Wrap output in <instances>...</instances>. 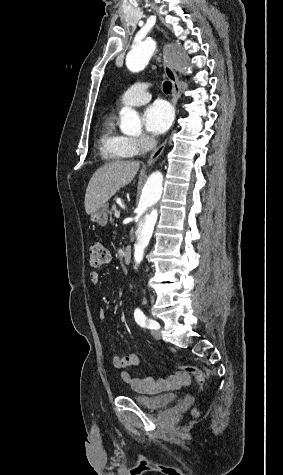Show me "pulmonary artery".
I'll return each mask as SVG.
<instances>
[{"mask_svg": "<svg viewBox=\"0 0 283 475\" xmlns=\"http://www.w3.org/2000/svg\"><path fill=\"white\" fill-rule=\"evenodd\" d=\"M154 98V93L146 88V82L140 81L139 83L129 86L118 100V105L132 106L145 103L148 100Z\"/></svg>", "mask_w": 283, "mask_h": 475, "instance_id": "e3ab8cb5", "label": "pulmonary artery"}]
</instances>
